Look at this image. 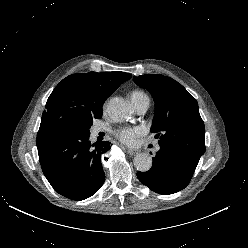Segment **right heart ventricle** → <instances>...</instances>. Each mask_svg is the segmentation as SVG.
Instances as JSON below:
<instances>
[{
  "instance_id": "obj_1",
  "label": "right heart ventricle",
  "mask_w": 248,
  "mask_h": 248,
  "mask_svg": "<svg viewBox=\"0 0 248 248\" xmlns=\"http://www.w3.org/2000/svg\"><path fill=\"white\" fill-rule=\"evenodd\" d=\"M140 97H147V95L143 91H140V90H134L131 93V99L140 98Z\"/></svg>"
}]
</instances>
